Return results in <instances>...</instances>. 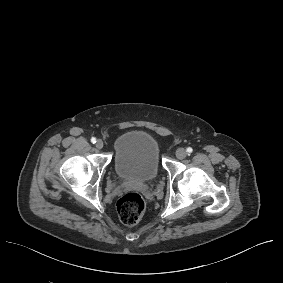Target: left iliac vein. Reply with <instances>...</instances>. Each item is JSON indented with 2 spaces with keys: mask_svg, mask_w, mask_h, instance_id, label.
Returning <instances> with one entry per match:
<instances>
[{
  "mask_svg": "<svg viewBox=\"0 0 283 283\" xmlns=\"http://www.w3.org/2000/svg\"><path fill=\"white\" fill-rule=\"evenodd\" d=\"M176 156L179 159H184L187 156V151L184 148H178L176 150Z\"/></svg>",
  "mask_w": 283,
  "mask_h": 283,
  "instance_id": "1",
  "label": "left iliac vein"
}]
</instances>
